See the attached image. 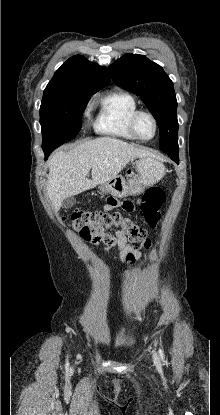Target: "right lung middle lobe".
Returning <instances> with one entry per match:
<instances>
[{
  "label": "right lung middle lobe",
  "instance_id": "right-lung-middle-lobe-1",
  "mask_svg": "<svg viewBox=\"0 0 220 415\" xmlns=\"http://www.w3.org/2000/svg\"><path fill=\"white\" fill-rule=\"evenodd\" d=\"M96 92L45 89L40 107L42 148H57L76 137L82 113Z\"/></svg>",
  "mask_w": 220,
  "mask_h": 415
}]
</instances>
